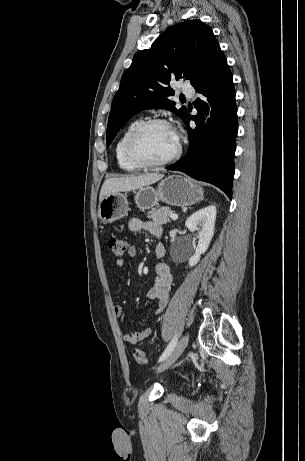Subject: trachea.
<instances>
[{"mask_svg":"<svg viewBox=\"0 0 305 461\" xmlns=\"http://www.w3.org/2000/svg\"><path fill=\"white\" fill-rule=\"evenodd\" d=\"M180 100H182V101H183V100H185V97H184V96H183V97H181V98H180Z\"/></svg>","mask_w":305,"mask_h":461,"instance_id":"trachea-1","label":"trachea"}]
</instances>
